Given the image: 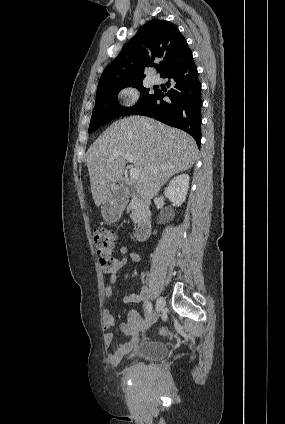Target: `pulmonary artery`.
Here are the masks:
<instances>
[{
    "label": "pulmonary artery",
    "instance_id": "e3ab8cb5",
    "mask_svg": "<svg viewBox=\"0 0 285 424\" xmlns=\"http://www.w3.org/2000/svg\"><path fill=\"white\" fill-rule=\"evenodd\" d=\"M159 77L157 76V75H154V76H152L151 77V82L153 83V84H157V83H159Z\"/></svg>",
    "mask_w": 285,
    "mask_h": 424
}]
</instances>
